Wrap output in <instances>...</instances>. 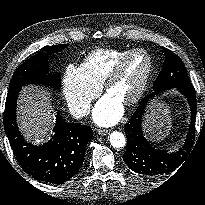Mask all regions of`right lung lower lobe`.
Listing matches in <instances>:
<instances>
[{
  "label": "right lung lower lobe",
  "mask_w": 205,
  "mask_h": 205,
  "mask_svg": "<svg viewBox=\"0 0 205 205\" xmlns=\"http://www.w3.org/2000/svg\"><path fill=\"white\" fill-rule=\"evenodd\" d=\"M20 88L8 90L4 128L13 152L22 169L35 179L62 184L82 167L85 150L93 136L89 126L64 122L57 113L52 139L40 146L27 143L16 123V101Z\"/></svg>",
  "instance_id": "1"
}]
</instances>
